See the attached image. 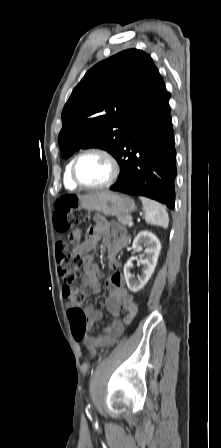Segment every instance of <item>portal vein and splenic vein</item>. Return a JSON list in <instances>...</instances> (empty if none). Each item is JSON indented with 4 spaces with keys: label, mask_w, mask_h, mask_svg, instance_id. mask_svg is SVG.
<instances>
[{
    "label": "portal vein and splenic vein",
    "mask_w": 221,
    "mask_h": 448,
    "mask_svg": "<svg viewBox=\"0 0 221 448\" xmlns=\"http://www.w3.org/2000/svg\"><path fill=\"white\" fill-rule=\"evenodd\" d=\"M133 226V222L132 221H129L128 222V227H132Z\"/></svg>",
    "instance_id": "1"
}]
</instances>
